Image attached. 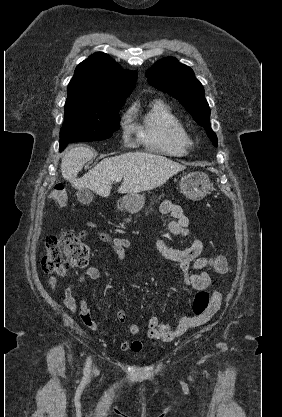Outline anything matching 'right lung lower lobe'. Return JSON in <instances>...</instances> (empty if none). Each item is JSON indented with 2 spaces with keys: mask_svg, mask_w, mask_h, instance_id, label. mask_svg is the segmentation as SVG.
Segmentation results:
<instances>
[{
  "mask_svg": "<svg viewBox=\"0 0 282 417\" xmlns=\"http://www.w3.org/2000/svg\"><path fill=\"white\" fill-rule=\"evenodd\" d=\"M62 149H64V148L60 147V150H62Z\"/></svg>",
  "mask_w": 282,
  "mask_h": 417,
  "instance_id": "obj_1",
  "label": "right lung lower lobe"
}]
</instances>
